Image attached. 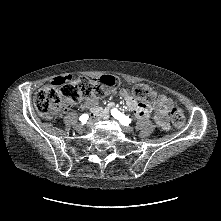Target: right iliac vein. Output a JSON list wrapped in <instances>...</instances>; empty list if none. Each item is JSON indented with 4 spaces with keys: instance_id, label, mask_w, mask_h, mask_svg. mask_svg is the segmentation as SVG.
Listing matches in <instances>:
<instances>
[{
    "instance_id": "right-iliac-vein-1",
    "label": "right iliac vein",
    "mask_w": 221,
    "mask_h": 221,
    "mask_svg": "<svg viewBox=\"0 0 221 221\" xmlns=\"http://www.w3.org/2000/svg\"><path fill=\"white\" fill-rule=\"evenodd\" d=\"M82 125L80 124V123H78V124H76L75 125V129L77 130V131H81L82 130Z\"/></svg>"
}]
</instances>
